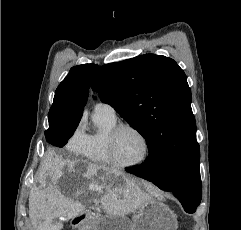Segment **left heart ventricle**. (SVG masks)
<instances>
[{
  "label": "left heart ventricle",
  "instance_id": "left-heart-ventricle-1",
  "mask_svg": "<svg viewBox=\"0 0 241 230\" xmlns=\"http://www.w3.org/2000/svg\"><path fill=\"white\" fill-rule=\"evenodd\" d=\"M144 153L142 139L132 130L125 129L118 135L116 141V156L122 162L139 160Z\"/></svg>",
  "mask_w": 241,
  "mask_h": 230
}]
</instances>
